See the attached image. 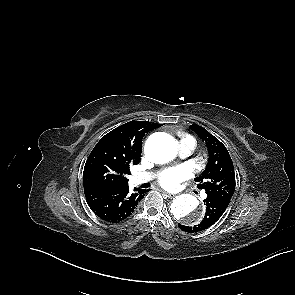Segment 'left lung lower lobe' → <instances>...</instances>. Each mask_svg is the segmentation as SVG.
Instances as JSON below:
<instances>
[{
	"label": "left lung lower lobe",
	"mask_w": 295,
	"mask_h": 295,
	"mask_svg": "<svg viewBox=\"0 0 295 295\" xmlns=\"http://www.w3.org/2000/svg\"><path fill=\"white\" fill-rule=\"evenodd\" d=\"M229 203V199L207 196V198L204 200V204L206 205V213L203 220L195 226H185L179 224L178 227L186 232L203 231L211 227L220 219L222 214L227 209Z\"/></svg>",
	"instance_id": "0a47b994"
}]
</instances>
